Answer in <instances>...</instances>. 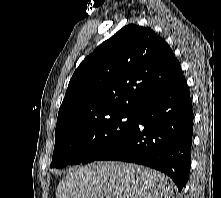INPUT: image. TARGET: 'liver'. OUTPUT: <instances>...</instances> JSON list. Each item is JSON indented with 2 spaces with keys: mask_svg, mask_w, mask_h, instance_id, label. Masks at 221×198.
Wrapping results in <instances>:
<instances>
[{
  "mask_svg": "<svg viewBox=\"0 0 221 198\" xmlns=\"http://www.w3.org/2000/svg\"><path fill=\"white\" fill-rule=\"evenodd\" d=\"M175 186L156 170L123 162H94L70 170L56 198H174Z\"/></svg>",
  "mask_w": 221,
  "mask_h": 198,
  "instance_id": "1",
  "label": "liver"
}]
</instances>
